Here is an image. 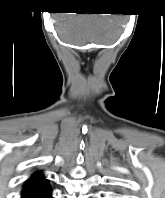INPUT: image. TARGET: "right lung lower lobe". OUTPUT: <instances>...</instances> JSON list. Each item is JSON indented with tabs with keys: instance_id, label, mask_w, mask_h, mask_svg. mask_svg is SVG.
Segmentation results:
<instances>
[{
	"instance_id": "98d812e1",
	"label": "right lung lower lobe",
	"mask_w": 165,
	"mask_h": 198,
	"mask_svg": "<svg viewBox=\"0 0 165 198\" xmlns=\"http://www.w3.org/2000/svg\"><path fill=\"white\" fill-rule=\"evenodd\" d=\"M22 198H52V191L50 187L47 186L28 195L22 196Z\"/></svg>"
}]
</instances>
